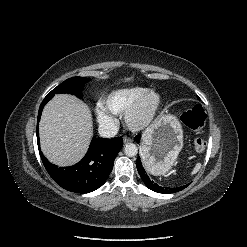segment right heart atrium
<instances>
[{
    "label": "right heart atrium",
    "instance_id": "d8ad5b80",
    "mask_svg": "<svg viewBox=\"0 0 247 247\" xmlns=\"http://www.w3.org/2000/svg\"><path fill=\"white\" fill-rule=\"evenodd\" d=\"M96 115L99 123L106 129H112L115 124V118L102 106L96 107Z\"/></svg>",
    "mask_w": 247,
    "mask_h": 247
}]
</instances>
